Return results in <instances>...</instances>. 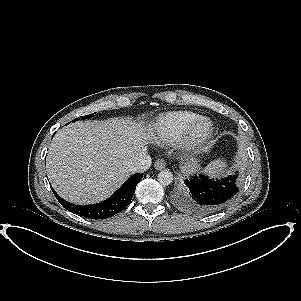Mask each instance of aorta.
<instances>
[{
  "label": "aorta",
  "mask_w": 301,
  "mask_h": 301,
  "mask_svg": "<svg viewBox=\"0 0 301 301\" xmlns=\"http://www.w3.org/2000/svg\"><path fill=\"white\" fill-rule=\"evenodd\" d=\"M158 181L162 185H170L173 182V174L169 170H162L158 173Z\"/></svg>",
  "instance_id": "aorta-1"
}]
</instances>
